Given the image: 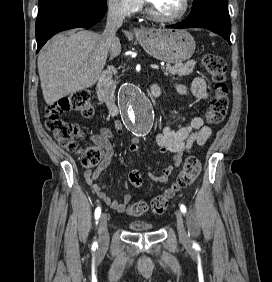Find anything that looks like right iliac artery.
Returning <instances> with one entry per match:
<instances>
[{
  "instance_id": "right-iliac-artery-1",
  "label": "right iliac artery",
  "mask_w": 272,
  "mask_h": 282,
  "mask_svg": "<svg viewBox=\"0 0 272 282\" xmlns=\"http://www.w3.org/2000/svg\"><path fill=\"white\" fill-rule=\"evenodd\" d=\"M100 214H101V208H100V207H97L96 210H95V219H96V220L99 219ZM92 247H93V248L98 247L97 243L94 242L93 245H92Z\"/></svg>"
}]
</instances>
